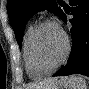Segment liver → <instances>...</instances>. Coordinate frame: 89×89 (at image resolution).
I'll list each match as a JSON object with an SVG mask.
<instances>
[{"mask_svg": "<svg viewBox=\"0 0 89 89\" xmlns=\"http://www.w3.org/2000/svg\"><path fill=\"white\" fill-rule=\"evenodd\" d=\"M58 78H49L43 81H40L35 84H31L28 89H49L51 88L56 82H58Z\"/></svg>", "mask_w": 89, "mask_h": 89, "instance_id": "obj_1", "label": "liver"}]
</instances>
